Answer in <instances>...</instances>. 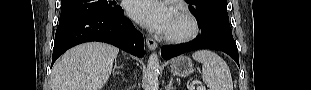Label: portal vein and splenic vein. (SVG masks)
Here are the masks:
<instances>
[{
    "label": "portal vein and splenic vein",
    "instance_id": "portal-vein-and-splenic-vein-1",
    "mask_svg": "<svg viewBox=\"0 0 311 90\" xmlns=\"http://www.w3.org/2000/svg\"><path fill=\"white\" fill-rule=\"evenodd\" d=\"M197 89H198V90H205L206 88H205V86L201 85V86H199Z\"/></svg>",
    "mask_w": 311,
    "mask_h": 90
}]
</instances>
